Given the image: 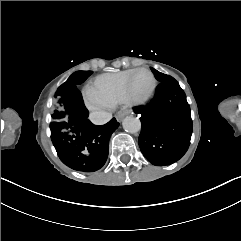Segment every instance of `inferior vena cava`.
Listing matches in <instances>:
<instances>
[{"instance_id": "inferior-vena-cava-1", "label": "inferior vena cava", "mask_w": 241, "mask_h": 241, "mask_svg": "<svg viewBox=\"0 0 241 241\" xmlns=\"http://www.w3.org/2000/svg\"><path fill=\"white\" fill-rule=\"evenodd\" d=\"M89 119L95 125H103L112 119V114L105 111H95L90 113Z\"/></svg>"}]
</instances>
